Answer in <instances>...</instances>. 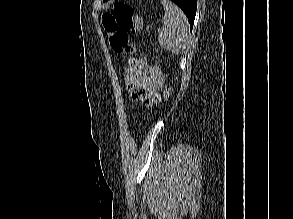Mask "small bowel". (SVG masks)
Returning <instances> with one entry per match:
<instances>
[{
  "label": "small bowel",
  "mask_w": 293,
  "mask_h": 219,
  "mask_svg": "<svg viewBox=\"0 0 293 219\" xmlns=\"http://www.w3.org/2000/svg\"><path fill=\"white\" fill-rule=\"evenodd\" d=\"M163 82L162 72L156 66H149L140 74H127L125 77L132 100L146 107L160 101Z\"/></svg>",
  "instance_id": "c3829d8e"
}]
</instances>
